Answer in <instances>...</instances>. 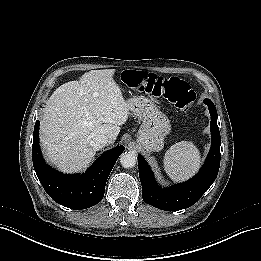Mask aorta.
<instances>
[{"label":"aorta","mask_w":261,"mask_h":261,"mask_svg":"<svg viewBox=\"0 0 261 261\" xmlns=\"http://www.w3.org/2000/svg\"><path fill=\"white\" fill-rule=\"evenodd\" d=\"M120 164L124 168H133L136 165L137 157L133 152H123L120 155Z\"/></svg>","instance_id":"762f6f07"}]
</instances>
